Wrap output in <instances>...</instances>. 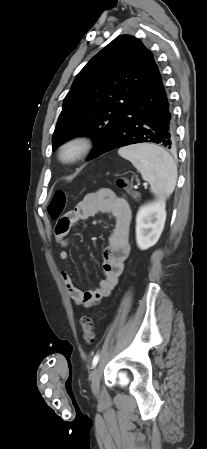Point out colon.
<instances>
[{
	"instance_id": "obj_1",
	"label": "colon",
	"mask_w": 207,
	"mask_h": 449,
	"mask_svg": "<svg viewBox=\"0 0 207 449\" xmlns=\"http://www.w3.org/2000/svg\"><path fill=\"white\" fill-rule=\"evenodd\" d=\"M117 186L121 189H126L130 196L135 200H139V193L132 189L128 179L120 177L117 179ZM67 205V195L64 191L58 190L54 193L53 198L48 206L49 217L54 221H59L65 211ZM83 338L87 343H93L95 339L94 322L90 317H83L81 319Z\"/></svg>"
}]
</instances>
